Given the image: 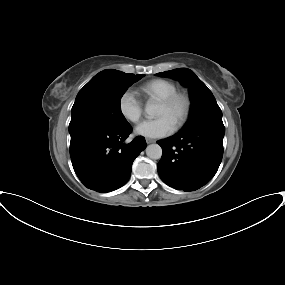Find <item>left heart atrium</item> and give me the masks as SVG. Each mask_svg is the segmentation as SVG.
Wrapping results in <instances>:
<instances>
[{
  "instance_id": "left-heart-atrium-1",
  "label": "left heart atrium",
  "mask_w": 285,
  "mask_h": 285,
  "mask_svg": "<svg viewBox=\"0 0 285 285\" xmlns=\"http://www.w3.org/2000/svg\"><path fill=\"white\" fill-rule=\"evenodd\" d=\"M174 124L165 116L144 120L135 129L136 134L146 138H160L174 131Z\"/></svg>"
}]
</instances>
